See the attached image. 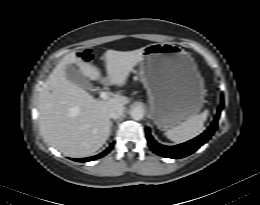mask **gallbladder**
<instances>
[{"label":"gallbladder","mask_w":260,"mask_h":205,"mask_svg":"<svg viewBox=\"0 0 260 205\" xmlns=\"http://www.w3.org/2000/svg\"><path fill=\"white\" fill-rule=\"evenodd\" d=\"M66 77L68 80L83 89H91L92 85L88 79L73 65H69L66 69Z\"/></svg>","instance_id":"gallbladder-1"}]
</instances>
